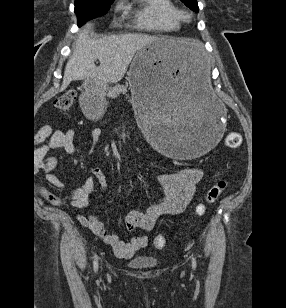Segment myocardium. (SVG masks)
Wrapping results in <instances>:
<instances>
[{
	"mask_svg": "<svg viewBox=\"0 0 286 308\" xmlns=\"http://www.w3.org/2000/svg\"><path fill=\"white\" fill-rule=\"evenodd\" d=\"M180 19L189 22L192 19V15L188 12L180 11Z\"/></svg>",
	"mask_w": 286,
	"mask_h": 308,
	"instance_id": "myocardium-1",
	"label": "myocardium"
}]
</instances>
